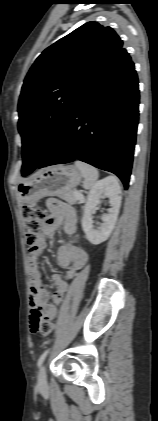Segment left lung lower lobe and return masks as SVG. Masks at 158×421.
I'll return each mask as SVG.
<instances>
[{
    "label": "left lung lower lobe",
    "mask_w": 158,
    "mask_h": 421,
    "mask_svg": "<svg viewBox=\"0 0 158 421\" xmlns=\"http://www.w3.org/2000/svg\"><path fill=\"white\" fill-rule=\"evenodd\" d=\"M138 106L137 74L122 46L73 107L37 167L79 159L116 174L127 189Z\"/></svg>",
    "instance_id": "0a47b994"
}]
</instances>
